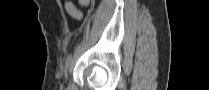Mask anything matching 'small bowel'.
<instances>
[{
	"label": "small bowel",
	"mask_w": 209,
	"mask_h": 90,
	"mask_svg": "<svg viewBox=\"0 0 209 90\" xmlns=\"http://www.w3.org/2000/svg\"><path fill=\"white\" fill-rule=\"evenodd\" d=\"M81 5H88L89 1L88 0H80ZM65 10L75 19H80L82 17L81 12L75 7V5L70 2L66 1L65 4Z\"/></svg>",
	"instance_id": "c3829d8e"
}]
</instances>
